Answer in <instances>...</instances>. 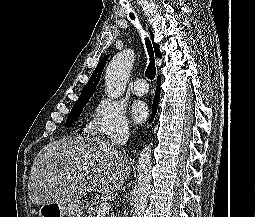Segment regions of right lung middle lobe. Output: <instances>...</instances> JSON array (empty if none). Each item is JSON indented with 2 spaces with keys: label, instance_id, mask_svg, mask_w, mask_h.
<instances>
[{
  "label": "right lung middle lobe",
  "instance_id": "dd1d6c3e",
  "mask_svg": "<svg viewBox=\"0 0 255 217\" xmlns=\"http://www.w3.org/2000/svg\"><path fill=\"white\" fill-rule=\"evenodd\" d=\"M92 95H93V92L80 95L79 99L76 101V103L72 107V110H71L69 116L67 117L65 126L71 125L80 116L83 108L88 103V101L92 97Z\"/></svg>",
  "mask_w": 255,
  "mask_h": 217
}]
</instances>
